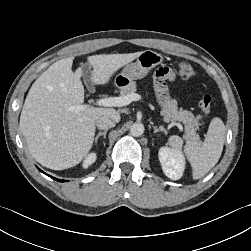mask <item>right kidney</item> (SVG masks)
<instances>
[{
    "instance_id": "obj_1",
    "label": "right kidney",
    "mask_w": 251,
    "mask_h": 251,
    "mask_svg": "<svg viewBox=\"0 0 251 251\" xmlns=\"http://www.w3.org/2000/svg\"><path fill=\"white\" fill-rule=\"evenodd\" d=\"M96 158H97L96 153L93 152L88 154L83 161L82 164L83 168L85 169L88 168L91 164H93L96 161Z\"/></svg>"
}]
</instances>
